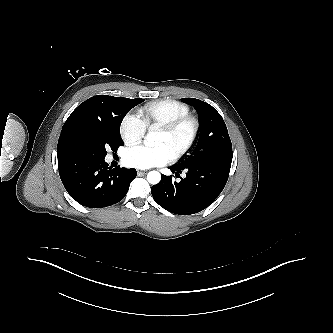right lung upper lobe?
<instances>
[{"label":"right lung upper lobe","instance_id":"right-lung-upper-lobe-1","mask_svg":"<svg viewBox=\"0 0 333 333\" xmlns=\"http://www.w3.org/2000/svg\"><path fill=\"white\" fill-rule=\"evenodd\" d=\"M111 99L112 96L96 95L81 103L72 112V114L68 117L65 124L63 125L57 146V156L68 152L65 148L63 140L65 132L71 126H73L79 118L83 116L104 117L108 112V106Z\"/></svg>","mask_w":333,"mask_h":333}]
</instances>
